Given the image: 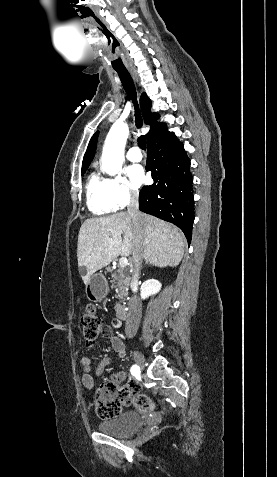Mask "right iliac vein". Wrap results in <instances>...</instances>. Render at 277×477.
<instances>
[{"instance_id":"63e3f726","label":"right iliac vein","mask_w":277,"mask_h":477,"mask_svg":"<svg viewBox=\"0 0 277 477\" xmlns=\"http://www.w3.org/2000/svg\"><path fill=\"white\" fill-rule=\"evenodd\" d=\"M134 360L137 363V365L141 369H143V367H144V357L142 356V354L140 352H138V351L134 352Z\"/></svg>"}]
</instances>
